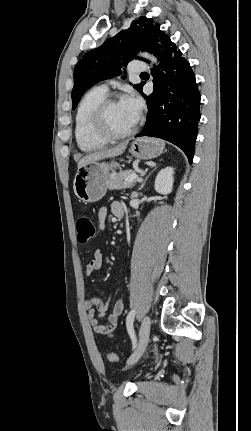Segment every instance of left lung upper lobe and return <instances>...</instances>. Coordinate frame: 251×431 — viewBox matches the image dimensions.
<instances>
[{
  "label": "left lung upper lobe",
  "instance_id": "left-lung-upper-lobe-1",
  "mask_svg": "<svg viewBox=\"0 0 251 431\" xmlns=\"http://www.w3.org/2000/svg\"><path fill=\"white\" fill-rule=\"evenodd\" d=\"M165 37L168 36L160 30L158 24L142 16L132 21L128 29L86 53L77 63L74 71L73 110L87 89L101 80L120 75L121 69L135 57L136 53L140 50L152 52L154 44ZM136 58L146 61L141 57ZM143 83L133 87L140 91Z\"/></svg>",
  "mask_w": 251,
  "mask_h": 431
}]
</instances>
